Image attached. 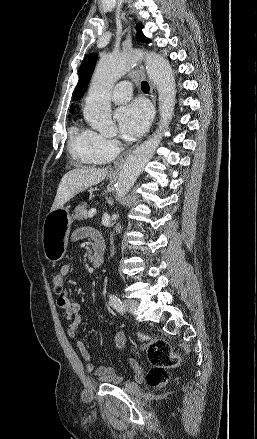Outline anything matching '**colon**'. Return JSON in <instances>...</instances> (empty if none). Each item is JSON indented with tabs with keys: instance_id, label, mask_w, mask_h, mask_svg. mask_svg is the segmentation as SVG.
Listing matches in <instances>:
<instances>
[{
	"instance_id": "obj_1",
	"label": "colon",
	"mask_w": 257,
	"mask_h": 439,
	"mask_svg": "<svg viewBox=\"0 0 257 439\" xmlns=\"http://www.w3.org/2000/svg\"><path fill=\"white\" fill-rule=\"evenodd\" d=\"M53 284L58 295L64 293L63 277L60 274L53 276ZM144 351L152 366L147 374V384L152 388L163 386L169 377L168 369L178 366L181 356L174 351L172 346L163 339H153L145 347Z\"/></svg>"
}]
</instances>
